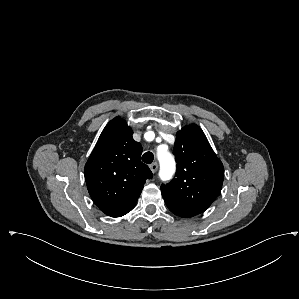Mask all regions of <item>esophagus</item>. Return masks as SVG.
<instances>
[{
	"label": "esophagus",
	"instance_id": "esophagus-1",
	"mask_svg": "<svg viewBox=\"0 0 299 299\" xmlns=\"http://www.w3.org/2000/svg\"><path fill=\"white\" fill-rule=\"evenodd\" d=\"M149 167L153 173H156V171L158 170V164L156 162L152 163Z\"/></svg>",
	"mask_w": 299,
	"mask_h": 299
}]
</instances>
